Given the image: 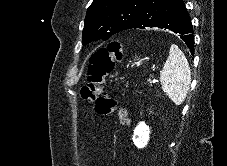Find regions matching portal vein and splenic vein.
<instances>
[{"mask_svg":"<svg viewBox=\"0 0 227 166\" xmlns=\"http://www.w3.org/2000/svg\"><path fill=\"white\" fill-rule=\"evenodd\" d=\"M156 82H158V80H156V79H153V80L151 81V83H153V84H155Z\"/></svg>","mask_w":227,"mask_h":166,"instance_id":"obj_1","label":"portal vein and splenic vein"}]
</instances>
